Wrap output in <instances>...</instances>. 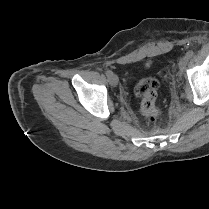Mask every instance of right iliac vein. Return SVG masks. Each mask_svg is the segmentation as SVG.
<instances>
[{
	"instance_id": "obj_1",
	"label": "right iliac vein",
	"mask_w": 209,
	"mask_h": 209,
	"mask_svg": "<svg viewBox=\"0 0 209 209\" xmlns=\"http://www.w3.org/2000/svg\"><path fill=\"white\" fill-rule=\"evenodd\" d=\"M108 78L111 86H116L118 84V77L116 74L112 73Z\"/></svg>"
}]
</instances>
